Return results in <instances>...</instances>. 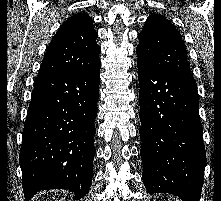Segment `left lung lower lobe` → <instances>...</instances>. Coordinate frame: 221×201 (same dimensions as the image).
<instances>
[{"instance_id":"1","label":"left lung lower lobe","mask_w":221,"mask_h":201,"mask_svg":"<svg viewBox=\"0 0 221 201\" xmlns=\"http://www.w3.org/2000/svg\"><path fill=\"white\" fill-rule=\"evenodd\" d=\"M143 182L150 194L199 201L206 166L196 82L137 60Z\"/></svg>"}]
</instances>
